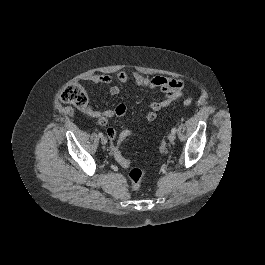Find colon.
Listing matches in <instances>:
<instances>
[{
  "instance_id": "obj_1",
  "label": "colon",
  "mask_w": 265,
  "mask_h": 265,
  "mask_svg": "<svg viewBox=\"0 0 265 265\" xmlns=\"http://www.w3.org/2000/svg\"><path fill=\"white\" fill-rule=\"evenodd\" d=\"M59 97L64 103L71 104L85 113L90 114L93 112L89 106L87 94L79 84L71 83L66 85L62 88ZM183 103L185 106H189L191 105L192 100L187 98L183 101ZM107 133L109 137L114 141L111 147V151L115 160L122 167H129L130 162L122 155L120 150V144L132 134V131L126 129L118 134L117 131L112 128H109L107 130ZM144 174V170L140 168H132L130 170L129 179L133 190H138L140 188Z\"/></svg>"
}]
</instances>
